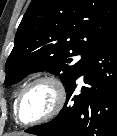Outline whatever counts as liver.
<instances>
[{"label": "liver", "instance_id": "6515ba94", "mask_svg": "<svg viewBox=\"0 0 117 136\" xmlns=\"http://www.w3.org/2000/svg\"><path fill=\"white\" fill-rule=\"evenodd\" d=\"M11 136H26V135L23 133H15V134H12Z\"/></svg>", "mask_w": 117, "mask_h": 136}]
</instances>
